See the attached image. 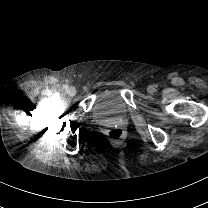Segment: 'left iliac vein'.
Instances as JSON below:
<instances>
[{
    "instance_id": "1",
    "label": "left iliac vein",
    "mask_w": 208,
    "mask_h": 208,
    "mask_svg": "<svg viewBox=\"0 0 208 208\" xmlns=\"http://www.w3.org/2000/svg\"><path fill=\"white\" fill-rule=\"evenodd\" d=\"M147 90L149 93H153L155 91V88L153 86H149Z\"/></svg>"
}]
</instances>
